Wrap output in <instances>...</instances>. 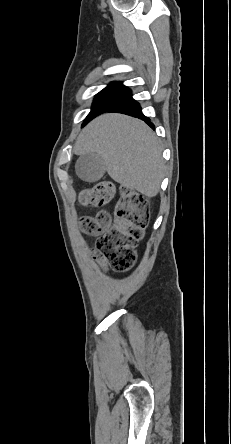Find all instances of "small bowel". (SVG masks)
Instances as JSON below:
<instances>
[{"label": "small bowel", "instance_id": "1", "mask_svg": "<svg viewBox=\"0 0 231 444\" xmlns=\"http://www.w3.org/2000/svg\"><path fill=\"white\" fill-rule=\"evenodd\" d=\"M93 257L102 267L106 266L105 261L103 260V258L97 252L93 253Z\"/></svg>", "mask_w": 231, "mask_h": 444}]
</instances>
